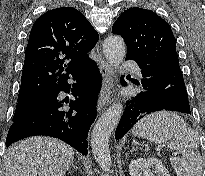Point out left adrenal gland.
I'll return each mask as SVG.
<instances>
[{"instance_id": "left-adrenal-gland-1", "label": "left adrenal gland", "mask_w": 205, "mask_h": 176, "mask_svg": "<svg viewBox=\"0 0 205 176\" xmlns=\"http://www.w3.org/2000/svg\"><path fill=\"white\" fill-rule=\"evenodd\" d=\"M137 150V147H132V149L130 150V153H132L133 151Z\"/></svg>"}]
</instances>
